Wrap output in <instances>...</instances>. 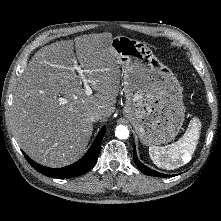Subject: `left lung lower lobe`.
<instances>
[{
	"mask_svg": "<svg viewBox=\"0 0 221 221\" xmlns=\"http://www.w3.org/2000/svg\"><path fill=\"white\" fill-rule=\"evenodd\" d=\"M133 156H134V161L137 165V167L146 175L148 176H157V177H170L171 175H167V174H162L159 173L157 171H154L148 167H146L145 165H143L137 158L136 155V151H135V145L133 146ZM174 176V175H173Z\"/></svg>",
	"mask_w": 221,
	"mask_h": 221,
	"instance_id": "1",
	"label": "left lung lower lobe"
}]
</instances>
